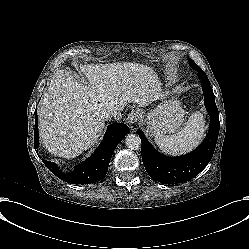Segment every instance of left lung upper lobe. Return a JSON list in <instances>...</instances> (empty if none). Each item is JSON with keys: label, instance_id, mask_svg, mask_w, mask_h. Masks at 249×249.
Returning a JSON list of instances; mask_svg holds the SVG:
<instances>
[{"label": "left lung upper lobe", "instance_id": "1", "mask_svg": "<svg viewBox=\"0 0 249 249\" xmlns=\"http://www.w3.org/2000/svg\"><path fill=\"white\" fill-rule=\"evenodd\" d=\"M190 63H191V67L199 72V75L201 78H207L205 72L201 71V69L198 65H196L192 60H190Z\"/></svg>", "mask_w": 249, "mask_h": 249}]
</instances>
